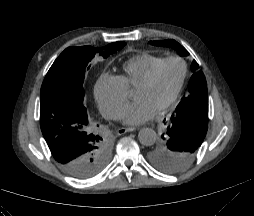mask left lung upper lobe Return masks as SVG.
I'll return each mask as SVG.
<instances>
[{"label":"left lung upper lobe","mask_w":254,"mask_h":216,"mask_svg":"<svg viewBox=\"0 0 254 216\" xmlns=\"http://www.w3.org/2000/svg\"><path fill=\"white\" fill-rule=\"evenodd\" d=\"M155 46L172 47L180 56L188 51L175 40L150 41ZM188 92L167 122L162 140L148 151L149 161L167 173L185 170L196 158L208 127V93L205 76L194 60Z\"/></svg>","instance_id":"left-lung-upper-lobe-1"}]
</instances>
